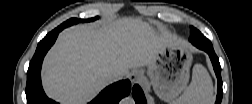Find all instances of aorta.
<instances>
[{
    "mask_svg": "<svg viewBox=\"0 0 252 104\" xmlns=\"http://www.w3.org/2000/svg\"><path fill=\"white\" fill-rule=\"evenodd\" d=\"M133 102V99L128 97V98H125V100L123 101V103H132Z\"/></svg>",
    "mask_w": 252,
    "mask_h": 104,
    "instance_id": "obj_1",
    "label": "aorta"
}]
</instances>
